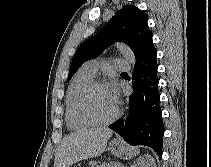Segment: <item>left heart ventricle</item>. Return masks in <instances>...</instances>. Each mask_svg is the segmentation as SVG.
I'll return each mask as SVG.
<instances>
[{
    "instance_id": "b2bd125f",
    "label": "left heart ventricle",
    "mask_w": 211,
    "mask_h": 167,
    "mask_svg": "<svg viewBox=\"0 0 211 167\" xmlns=\"http://www.w3.org/2000/svg\"><path fill=\"white\" fill-rule=\"evenodd\" d=\"M87 108L95 118L105 120L114 114L116 104L107 88L97 87L90 93L87 99Z\"/></svg>"
}]
</instances>
